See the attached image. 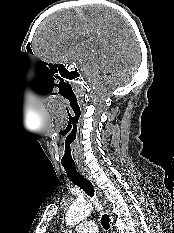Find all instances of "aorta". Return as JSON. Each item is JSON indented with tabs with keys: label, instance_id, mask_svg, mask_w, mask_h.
Instances as JSON below:
<instances>
[{
	"label": "aorta",
	"instance_id": "obj_1",
	"mask_svg": "<svg viewBox=\"0 0 174 233\" xmlns=\"http://www.w3.org/2000/svg\"><path fill=\"white\" fill-rule=\"evenodd\" d=\"M92 211V205L88 202H76L74 203L66 213V225L74 227L84 218H86ZM72 233L71 231H68Z\"/></svg>",
	"mask_w": 174,
	"mask_h": 233
}]
</instances>
